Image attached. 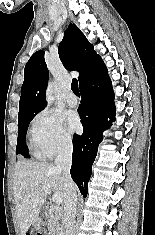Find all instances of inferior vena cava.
<instances>
[{
	"mask_svg": "<svg viewBox=\"0 0 155 235\" xmlns=\"http://www.w3.org/2000/svg\"><path fill=\"white\" fill-rule=\"evenodd\" d=\"M71 161L72 141L70 139L63 140L55 158V166L62 172L63 185L66 190L64 200L65 235H76L74 219L77 207V188L70 175Z\"/></svg>",
	"mask_w": 155,
	"mask_h": 235,
	"instance_id": "inferior-vena-cava-1",
	"label": "inferior vena cava"
}]
</instances>
